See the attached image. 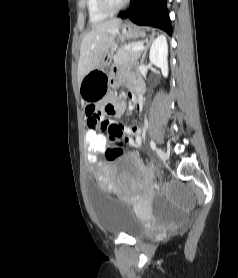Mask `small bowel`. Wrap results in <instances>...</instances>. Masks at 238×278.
<instances>
[{"label":"small bowel","instance_id":"small-bowel-1","mask_svg":"<svg viewBox=\"0 0 238 278\" xmlns=\"http://www.w3.org/2000/svg\"><path fill=\"white\" fill-rule=\"evenodd\" d=\"M121 81H128L133 85L131 97L134 104L138 108H141V86L137 78L125 73H116L114 84H118ZM126 108L127 106L124 102H108L106 104L89 103L85 109L87 116V130H96L99 137L106 138L107 144L121 142L122 144L126 143L131 147H140L142 144V134L139 126H122L106 120V117L110 116L107 113H113L111 116H121L126 111ZM136 163L139 169L143 168V163L140 160H136Z\"/></svg>","mask_w":238,"mask_h":278}]
</instances>
